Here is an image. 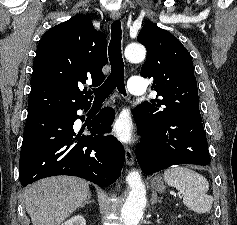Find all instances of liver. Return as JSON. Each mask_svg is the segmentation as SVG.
Wrapping results in <instances>:
<instances>
[{
	"instance_id": "obj_1",
	"label": "liver",
	"mask_w": 237,
	"mask_h": 225,
	"mask_svg": "<svg viewBox=\"0 0 237 225\" xmlns=\"http://www.w3.org/2000/svg\"><path fill=\"white\" fill-rule=\"evenodd\" d=\"M89 183L71 176L41 179L25 189V205L33 225H60L89 195Z\"/></svg>"
}]
</instances>
